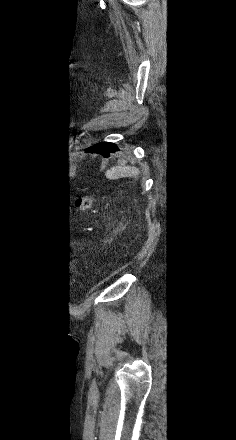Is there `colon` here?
I'll return each mask as SVG.
<instances>
[{"instance_id":"colon-1","label":"colon","mask_w":236,"mask_h":440,"mask_svg":"<svg viewBox=\"0 0 236 440\" xmlns=\"http://www.w3.org/2000/svg\"><path fill=\"white\" fill-rule=\"evenodd\" d=\"M93 198L90 195H83L76 199V207L83 212L88 211L92 206ZM60 279V276H57Z\"/></svg>"}]
</instances>
